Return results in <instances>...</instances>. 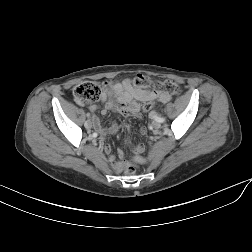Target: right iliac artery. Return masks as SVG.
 <instances>
[{
	"label": "right iliac artery",
	"mask_w": 252,
	"mask_h": 252,
	"mask_svg": "<svg viewBox=\"0 0 252 252\" xmlns=\"http://www.w3.org/2000/svg\"><path fill=\"white\" fill-rule=\"evenodd\" d=\"M100 136V133L98 131H95L93 133V137L98 138Z\"/></svg>",
	"instance_id": "82829eb1"
}]
</instances>
